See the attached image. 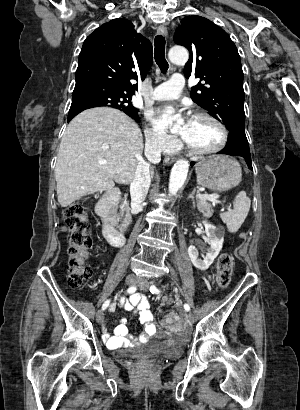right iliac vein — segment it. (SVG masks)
Instances as JSON below:
<instances>
[{
  "instance_id": "63e3f726",
  "label": "right iliac vein",
  "mask_w": 300,
  "mask_h": 410,
  "mask_svg": "<svg viewBox=\"0 0 300 410\" xmlns=\"http://www.w3.org/2000/svg\"><path fill=\"white\" fill-rule=\"evenodd\" d=\"M137 281H138V278H137V276L134 275V274H129V275L126 277V279H125V282H126V284H128V285H134V284L137 283ZM96 321H97L99 324H101V323L104 321V313H103L102 310H99V311L97 312V314H96Z\"/></svg>"
}]
</instances>
